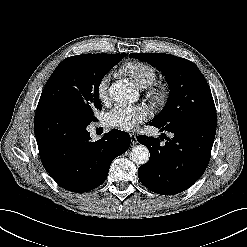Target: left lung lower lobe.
<instances>
[{
	"instance_id": "left-lung-lower-lobe-1",
	"label": "left lung lower lobe",
	"mask_w": 247,
	"mask_h": 247,
	"mask_svg": "<svg viewBox=\"0 0 247 247\" xmlns=\"http://www.w3.org/2000/svg\"><path fill=\"white\" fill-rule=\"evenodd\" d=\"M151 125L173 138L161 143L159 138L138 136V142L150 152L147 164L138 169L141 183L162 195H174L191 187L204 173L211 155L216 126L183 124L174 128ZM161 139V138H160Z\"/></svg>"
}]
</instances>
